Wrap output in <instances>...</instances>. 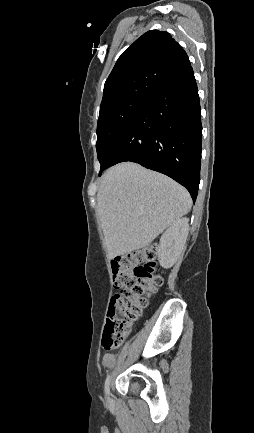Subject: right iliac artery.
Here are the masks:
<instances>
[{
  "mask_svg": "<svg viewBox=\"0 0 254 433\" xmlns=\"http://www.w3.org/2000/svg\"><path fill=\"white\" fill-rule=\"evenodd\" d=\"M111 376H108L105 381V393L106 395L109 393V386H110Z\"/></svg>",
  "mask_w": 254,
  "mask_h": 433,
  "instance_id": "1",
  "label": "right iliac artery"
}]
</instances>
